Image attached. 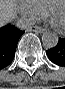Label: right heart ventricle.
Returning a JSON list of instances; mask_svg holds the SVG:
<instances>
[{
    "label": "right heart ventricle",
    "instance_id": "obj_1",
    "mask_svg": "<svg viewBox=\"0 0 65 89\" xmlns=\"http://www.w3.org/2000/svg\"><path fill=\"white\" fill-rule=\"evenodd\" d=\"M34 1L38 6H40L41 8H43L44 10H46L47 6L54 1L57 0H32Z\"/></svg>",
    "mask_w": 65,
    "mask_h": 89
}]
</instances>
